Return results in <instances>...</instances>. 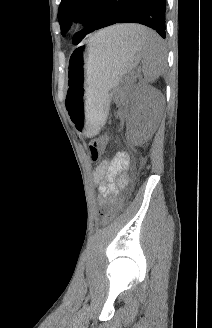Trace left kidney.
Masks as SVG:
<instances>
[{"instance_id": "left-kidney-1", "label": "left kidney", "mask_w": 212, "mask_h": 328, "mask_svg": "<svg viewBox=\"0 0 212 328\" xmlns=\"http://www.w3.org/2000/svg\"><path fill=\"white\" fill-rule=\"evenodd\" d=\"M162 106L160 92L152 87L138 91L128 117L130 138L137 144L146 142L154 134Z\"/></svg>"}]
</instances>
